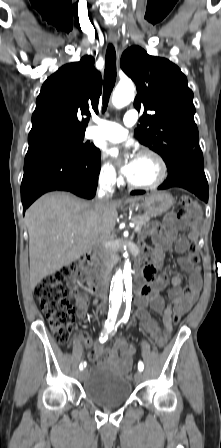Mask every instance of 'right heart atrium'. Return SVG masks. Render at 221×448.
<instances>
[{"label":"right heart atrium","mask_w":221,"mask_h":448,"mask_svg":"<svg viewBox=\"0 0 221 448\" xmlns=\"http://www.w3.org/2000/svg\"><path fill=\"white\" fill-rule=\"evenodd\" d=\"M120 177L115 167L110 162H103L99 171V181L107 186H114L119 183Z\"/></svg>","instance_id":"right-heart-atrium-1"}]
</instances>
